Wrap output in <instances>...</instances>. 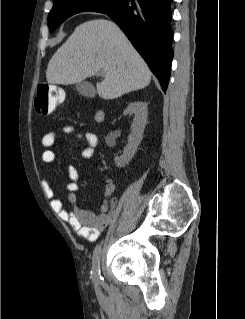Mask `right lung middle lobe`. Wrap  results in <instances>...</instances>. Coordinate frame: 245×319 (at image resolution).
Masks as SVG:
<instances>
[{
    "label": "right lung middle lobe",
    "instance_id": "1",
    "mask_svg": "<svg viewBox=\"0 0 245 319\" xmlns=\"http://www.w3.org/2000/svg\"><path fill=\"white\" fill-rule=\"evenodd\" d=\"M123 0H54L48 17L50 32H53L68 17L85 11L107 13L116 9Z\"/></svg>",
    "mask_w": 245,
    "mask_h": 319
}]
</instances>
